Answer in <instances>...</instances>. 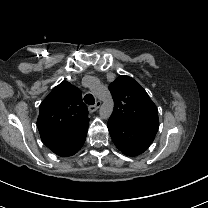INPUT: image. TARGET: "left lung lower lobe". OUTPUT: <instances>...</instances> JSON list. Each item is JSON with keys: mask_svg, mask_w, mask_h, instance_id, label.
Listing matches in <instances>:
<instances>
[{"mask_svg": "<svg viewBox=\"0 0 208 208\" xmlns=\"http://www.w3.org/2000/svg\"><path fill=\"white\" fill-rule=\"evenodd\" d=\"M107 126L114 144L127 156L134 157L142 154L152 143L134 128L112 120L107 122Z\"/></svg>", "mask_w": 208, "mask_h": 208, "instance_id": "0a47b994", "label": "left lung lower lobe"}]
</instances>
